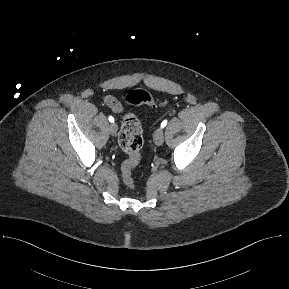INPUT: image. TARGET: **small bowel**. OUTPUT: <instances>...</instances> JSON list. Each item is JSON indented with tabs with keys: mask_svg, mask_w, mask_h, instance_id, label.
<instances>
[{
	"mask_svg": "<svg viewBox=\"0 0 289 289\" xmlns=\"http://www.w3.org/2000/svg\"><path fill=\"white\" fill-rule=\"evenodd\" d=\"M103 102L115 113H121L124 111L123 105L115 97L111 95L105 96Z\"/></svg>",
	"mask_w": 289,
	"mask_h": 289,
	"instance_id": "small-bowel-1",
	"label": "small bowel"
}]
</instances>
